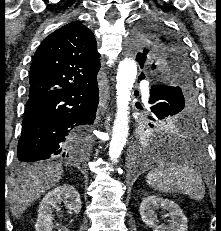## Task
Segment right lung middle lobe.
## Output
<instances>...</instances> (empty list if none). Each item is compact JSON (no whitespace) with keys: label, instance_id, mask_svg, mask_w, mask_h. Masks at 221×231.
<instances>
[{"label":"right lung middle lobe","instance_id":"1","mask_svg":"<svg viewBox=\"0 0 221 231\" xmlns=\"http://www.w3.org/2000/svg\"><path fill=\"white\" fill-rule=\"evenodd\" d=\"M91 126V125H90ZM90 126L84 128V129H81V130H85V133L87 135V139L89 140V133H90ZM88 140H87V143H88Z\"/></svg>","mask_w":221,"mask_h":231}]
</instances>
